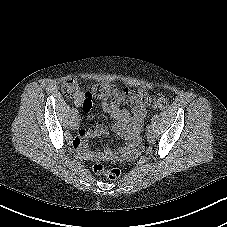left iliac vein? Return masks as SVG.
<instances>
[{"instance_id": "left-iliac-vein-1", "label": "left iliac vein", "mask_w": 227, "mask_h": 227, "mask_svg": "<svg viewBox=\"0 0 227 227\" xmlns=\"http://www.w3.org/2000/svg\"><path fill=\"white\" fill-rule=\"evenodd\" d=\"M146 136L149 142H153L155 140V136L152 131L148 132Z\"/></svg>"}]
</instances>
